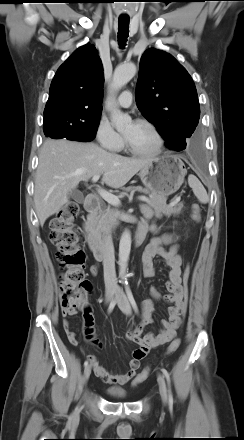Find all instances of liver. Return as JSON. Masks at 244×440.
Returning a JSON list of instances; mask_svg holds the SVG:
<instances>
[{
    "label": "liver",
    "instance_id": "obj_1",
    "mask_svg": "<svg viewBox=\"0 0 244 440\" xmlns=\"http://www.w3.org/2000/svg\"><path fill=\"white\" fill-rule=\"evenodd\" d=\"M154 158H127L110 153L95 143L47 140L39 154L34 203L41 226L69 202V193L80 181L103 175L112 188L123 187Z\"/></svg>",
    "mask_w": 244,
    "mask_h": 440
}]
</instances>
